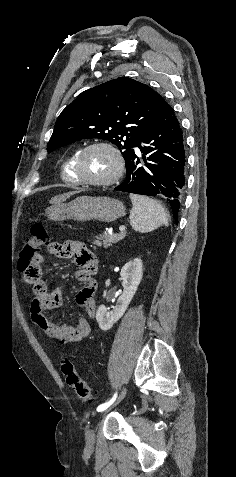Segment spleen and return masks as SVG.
Masks as SVG:
<instances>
[{"label":"spleen","mask_w":236,"mask_h":477,"mask_svg":"<svg viewBox=\"0 0 236 477\" xmlns=\"http://www.w3.org/2000/svg\"><path fill=\"white\" fill-rule=\"evenodd\" d=\"M130 199L133 205L130 212V224L133 230L146 233L162 225L168 226L166 212L156 200L136 194H130Z\"/></svg>","instance_id":"spleen-1"}]
</instances>
